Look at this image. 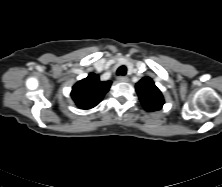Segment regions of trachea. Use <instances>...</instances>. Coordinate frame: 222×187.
<instances>
[{
  "instance_id": "3493384b",
  "label": "trachea",
  "mask_w": 222,
  "mask_h": 187,
  "mask_svg": "<svg viewBox=\"0 0 222 187\" xmlns=\"http://www.w3.org/2000/svg\"><path fill=\"white\" fill-rule=\"evenodd\" d=\"M127 72L126 66H120L117 70V75L124 76Z\"/></svg>"
}]
</instances>
